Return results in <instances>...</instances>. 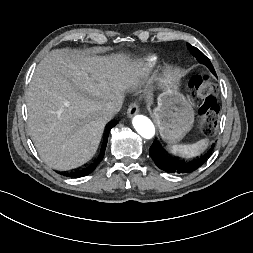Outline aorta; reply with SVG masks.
<instances>
[{
	"mask_svg": "<svg viewBox=\"0 0 253 253\" xmlns=\"http://www.w3.org/2000/svg\"><path fill=\"white\" fill-rule=\"evenodd\" d=\"M133 126L137 133L145 138L152 139L156 134L155 126L153 122L146 116L136 115L132 120Z\"/></svg>",
	"mask_w": 253,
	"mask_h": 253,
	"instance_id": "obj_1",
	"label": "aorta"
}]
</instances>
